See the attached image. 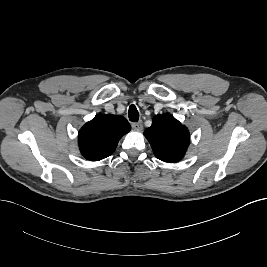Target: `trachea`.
<instances>
[{"instance_id":"obj_1","label":"trachea","mask_w":267,"mask_h":267,"mask_svg":"<svg viewBox=\"0 0 267 267\" xmlns=\"http://www.w3.org/2000/svg\"><path fill=\"white\" fill-rule=\"evenodd\" d=\"M128 116H129V120L132 122H137L139 120V112L135 105H131L129 107Z\"/></svg>"}]
</instances>
